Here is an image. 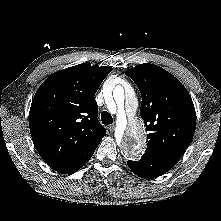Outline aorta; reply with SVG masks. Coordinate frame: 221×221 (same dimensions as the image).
<instances>
[{
    "instance_id": "1",
    "label": "aorta",
    "mask_w": 221,
    "mask_h": 221,
    "mask_svg": "<svg viewBox=\"0 0 221 221\" xmlns=\"http://www.w3.org/2000/svg\"><path fill=\"white\" fill-rule=\"evenodd\" d=\"M106 103L113 98L117 106V116L122 129H125L124 136L120 139V146L125 155L130 158H139L146 146V131L144 123L135 116L138 100L133 88L122 82L114 86L110 98L109 92L105 94ZM126 116L129 117V124L126 126Z\"/></svg>"
}]
</instances>
